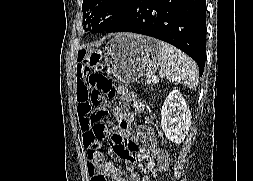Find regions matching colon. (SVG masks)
<instances>
[{
    "label": "colon",
    "mask_w": 253,
    "mask_h": 181,
    "mask_svg": "<svg viewBox=\"0 0 253 181\" xmlns=\"http://www.w3.org/2000/svg\"><path fill=\"white\" fill-rule=\"evenodd\" d=\"M100 55H104L102 47H84L79 54L81 65L88 69V90L83 99L85 110L80 116L83 143L89 150L90 159L97 162L102 160L101 141L105 135V127L101 122L104 111H95L94 107L104 100H113L118 96L113 82L106 75L94 70L99 65Z\"/></svg>",
    "instance_id": "colon-1"
}]
</instances>
